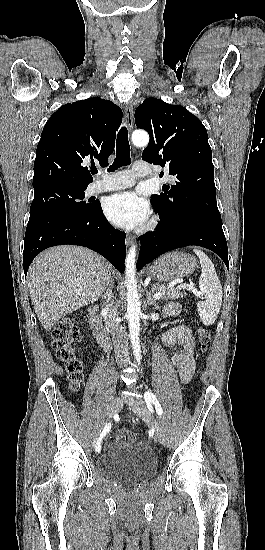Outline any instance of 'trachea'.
Here are the masks:
<instances>
[{
	"label": "trachea",
	"mask_w": 265,
	"mask_h": 550,
	"mask_svg": "<svg viewBox=\"0 0 265 550\" xmlns=\"http://www.w3.org/2000/svg\"><path fill=\"white\" fill-rule=\"evenodd\" d=\"M130 164V145L128 141V131L123 126L117 136L116 141V158L113 164L107 170L108 172H114L121 166H127ZM92 174H97V169L91 170Z\"/></svg>",
	"instance_id": "obj_1"
}]
</instances>
